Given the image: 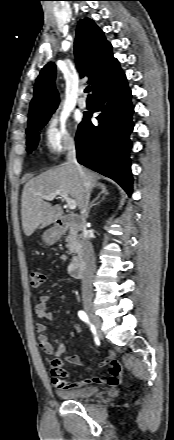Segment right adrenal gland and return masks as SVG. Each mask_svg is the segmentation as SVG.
Instances as JSON below:
<instances>
[{"label":"right adrenal gland","mask_w":174,"mask_h":440,"mask_svg":"<svg viewBox=\"0 0 174 440\" xmlns=\"http://www.w3.org/2000/svg\"><path fill=\"white\" fill-rule=\"evenodd\" d=\"M97 189H99L100 192L98 193L97 197L91 202V204H90V206H89L88 213H89V211L91 210V208H92L93 206H95V205L98 204V203H96V201H97L101 196H102V200H103L104 197H105L106 195H109V192H108L107 187H106L105 184H102V183L97 184Z\"/></svg>","instance_id":"right-adrenal-gland-1"}]
</instances>
